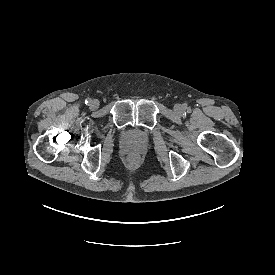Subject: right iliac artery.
Instances as JSON below:
<instances>
[{
	"label": "right iliac artery",
	"mask_w": 275,
	"mask_h": 275,
	"mask_svg": "<svg viewBox=\"0 0 275 275\" xmlns=\"http://www.w3.org/2000/svg\"><path fill=\"white\" fill-rule=\"evenodd\" d=\"M90 102H91V100H90V99H86V100H85V104H86V105H89V104H90Z\"/></svg>",
	"instance_id": "1"
}]
</instances>
